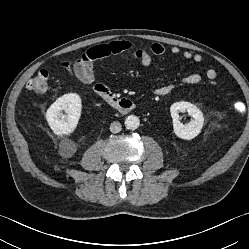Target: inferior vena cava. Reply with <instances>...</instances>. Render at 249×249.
I'll use <instances>...</instances> for the list:
<instances>
[{
    "mask_svg": "<svg viewBox=\"0 0 249 249\" xmlns=\"http://www.w3.org/2000/svg\"><path fill=\"white\" fill-rule=\"evenodd\" d=\"M121 129H122V126H121V124H120L119 122H117V121H114V122H112V123L110 124V131H111L112 133H118V132L121 131Z\"/></svg>",
    "mask_w": 249,
    "mask_h": 249,
    "instance_id": "602c4592",
    "label": "inferior vena cava"
}]
</instances>
